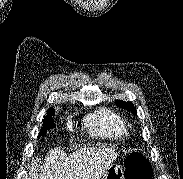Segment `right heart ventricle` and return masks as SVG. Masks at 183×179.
Wrapping results in <instances>:
<instances>
[{
	"label": "right heart ventricle",
	"instance_id": "1",
	"mask_svg": "<svg viewBox=\"0 0 183 179\" xmlns=\"http://www.w3.org/2000/svg\"><path fill=\"white\" fill-rule=\"evenodd\" d=\"M87 127L92 135L106 138H121L127 131L120 116L105 108L87 119Z\"/></svg>",
	"mask_w": 183,
	"mask_h": 179
}]
</instances>
